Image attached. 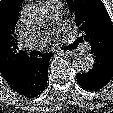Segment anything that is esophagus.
Listing matches in <instances>:
<instances>
[{"label":"esophagus","instance_id":"1","mask_svg":"<svg viewBox=\"0 0 113 113\" xmlns=\"http://www.w3.org/2000/svg\"><path fill=\"white\" fill-rule=\"evenodd\" d=\"M58 52H62L64 55L68 57H72L75 55V51H69V50H59Z\"/></svg>","mask_w":113,"mask_h":113}]
</instances>
